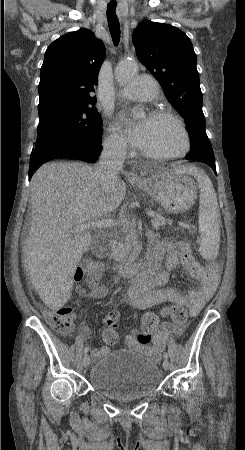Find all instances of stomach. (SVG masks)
I'll return each mask as SVG.
<instances>
[{"label": "stomach", "mask_w": 245, "mask_h": 450, "mask_svg": "<svg viewBox=\"0 0 245 450\" xmlns=\"http://www.w3.org/2000/svg\"><path fill=\"white\" fill-rule=\"evenodd\" d=\"M136 185L152 196L168 213H183L189 210L197 198L194 180L183 171V167L158 169L150 176L137 181Z\"/></svg>", "instance_id": "0dacf381"}]
</instances>
